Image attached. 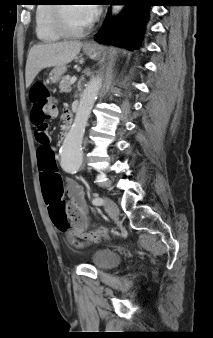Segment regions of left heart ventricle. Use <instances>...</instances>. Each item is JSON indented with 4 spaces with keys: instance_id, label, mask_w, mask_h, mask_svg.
Listing matches in <instances>:
<instances>
[{
    "instance_id": "obj_1",
    "label": "left heart ventricle",
    "mask_w": 213,
    "mask_h": 338,
    "mask_svg": "<svg viewBox=\"0 0 213 338\" xmlns=\"http://www.w3.org/2000/svg\"><path fill=\"white\" fill-rule=\"evenodd\" d=\"M64 19L67 27L74 31L82 30L90 24L84 18L80 8L75 5H68L65 7Z\"/></svg>"
}]
</instances>
